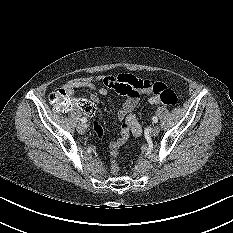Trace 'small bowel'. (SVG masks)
I'll return each instance as SVG.
<instances>
[{"label": "small bowel", "mask_w": 233, "mask_h": 233, "mask_svg": "<svg viewBox=\"0 0 233 233\" xmlns=\"http://www.w3.org/2000/svg\"><path fill=\"white\" fill-rule=\"evenodd\" d=\"M141 81L144 84V87L124 90L120 88L119 76L97 75L71 79L67 81L62 88L69 96H73L76 90L86 91L89 94L90 100L94 102V104L99 101L98 95H106L110 89L115 90L126 97L122 107L117 112V119L122 122L120 135L110 143V149L114 152L126 143L130 135L138 137L142 134L141 125L134 115L131 114L139 103L140 95H153L149 99V102L152 105L156 100V95L151 88V85L154 82L149 80ZM98 84H101L102 86L99 87Z\"/></svg>", "instance_id": "c3829d8e"}]
</instances>
